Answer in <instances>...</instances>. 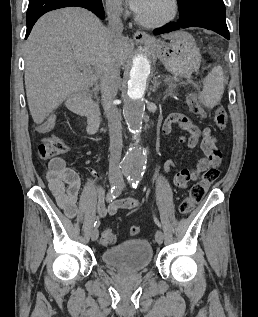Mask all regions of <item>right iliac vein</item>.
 Here are the masks:
<instances>
[{
	"label": "right iliac vein",
	"mask_w": 258,
	"mask_h": 317,
	"mask_svg": "<svg viewBox=\"0 0 258 317\" xmlns=\"http://www.w3.org/2000/svg\"><path fill=\"white\" fill-rule=\"evenodd\" d=\"M110 184H111L112 186H119V185H120V180H119V179H112V180L110 181ZM90 235H91V242H92V240L98 239V236H99V231H98V229H97V228H92V229H91V232H90Z\"/></svg>",
	"instance_id": "right-iliac-vein-1"
}]
</instances>
